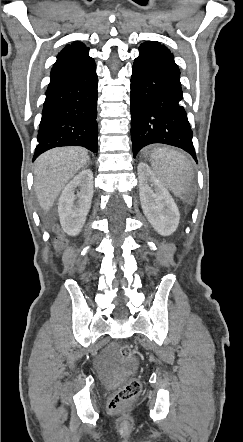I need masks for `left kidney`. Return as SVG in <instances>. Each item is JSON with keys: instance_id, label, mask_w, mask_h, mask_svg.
<instances>
[{"instance_id": "5707ae66", "label": "left kidney", "mask_w": 243, "mask_h": 442, "mask_svg": "<svg viewBox=\"0 0 243 442\" xmlns=\"http://www.w3.org/2000/svg\"><path fill=\"white\" fill-rule=\"evenodd\" d=\"M138 179L144 215L160 235H171L177 229L180 219L174 199L144 162L138 165ZM148 183H151L155 189L149 187Z\"/></svg>"}]
</instances>
